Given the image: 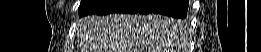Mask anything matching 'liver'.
Returning <instances> with one entry per match:
<instances>
[{
    "label": "liver",
    "instance_id": "6515ba94",
    "mask_svg": "<svg viewBox=\"0 0 261 52\" xmlns=\"http://www.w3.org/2000/svg\"><path fill=\"white\" fill-rule=\"evenodd\" d=\"M185 25L162 15L87 16L81 21L86 52H175Z\"/></svg>",
    "mask_w": 261,
    "mask_h": 52
}]
</instances>
